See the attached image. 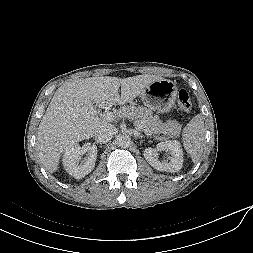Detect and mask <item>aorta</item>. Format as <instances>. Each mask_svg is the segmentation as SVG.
<instances>
[{
    "label": "aorta",
    "mask_w": 253,
    "mask_h": 253,
    "mask_svg": "<svg viewBox=\"0 0 253 253\" xmlns=\"http://www.w3.org/2000/svg\"><path fill=\"white\" fill-rule=\"evenodd\" d=\"M131 144V138L127 134H122L118 137V145L122 148H127Z\"/></svg>",
    "instance_id": "762f6f07"
}]
</instances>
